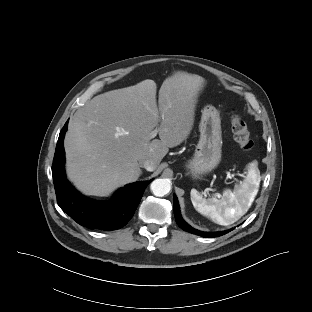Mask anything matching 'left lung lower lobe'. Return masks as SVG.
<instances>
[{
    "label": "left lung lower lobe",
    "mask_w": 312,
    "mask_h": 312,
    "mask_svg": "<svg viewBox=\"0 0 312 312\" xmlns=\"http://www.w3.org/2000/svg\"><path fill=\"white\" fill-rule=\"evenodd\" d=\"M174 215H175V220L178 224V226L180 228H182L183 230L185 231H188L190 233H193V234H196V235H200L202 237H205V238H213V237H217V236H222L228 232H230L232 229L230 230H226V231H222V232H202V231H198L194 228H192L190 225H188L181 217V214H180V207H179V204H178V200H177V197L174 195Z\"/></svg>",
    "instance_id": "left-lung-lower-lobe-1"
}]
</instances>
